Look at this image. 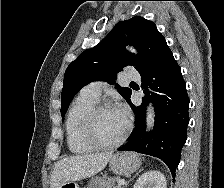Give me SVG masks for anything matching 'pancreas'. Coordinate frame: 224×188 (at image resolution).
<instances>
[{
    "label": "pancreas",
    "instance_id": "1",
    "mask_svg": "<svg viewBox=\"0 0 224 188\" xmlns=\"http://www.w3.org/2000/svg\"><path fill=\"white\" fill-rule=\"evenodd\" d=\"M120 179L118 177H94L85 188H122L116 185Z\"/></svg>",
    "mask_w": 224,
    "mask_h": 188
}]
</instances>
